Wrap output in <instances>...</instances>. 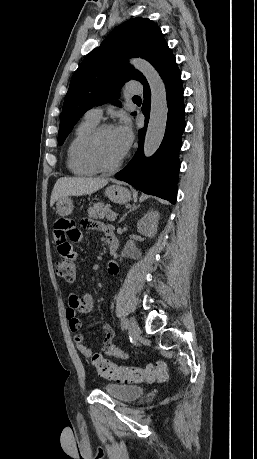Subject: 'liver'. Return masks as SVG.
<instances>
[{"label":"liver","mask_w":257,"mask_h":459,"mask_svg":"<svg viewBox=\"0 0 257 459\" xmlns=\"http://www.w3.org/2000/svg\"><path fill=\"white\" fill-rule=\"evenodd\" d=\"M108 183L104 178H60L56 181L52 190L50 205L61 197L89 195L103 188Z\"/></svg>","instance_id":"1"}]
</instances>
